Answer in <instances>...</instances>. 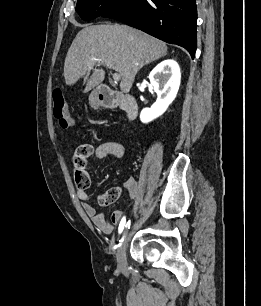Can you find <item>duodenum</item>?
<instances>
[{
	"instance_id": "410a0bca",
	"label": "duodenum",
	"mask_w": 261,
	"mask_h": 306,
	"mask_svg": "<svg viewBox=\"0 0 261 306\" xmlns=\"http://www.w3.org/2000/svg\"><path fill=\"white\" fill-rule=\"evenodd\" d=\"M96 98L102 107H119L126 113L130 120L137 116L138 104L136 99L131 95L114 92L106 85H101L97 89Z\"/></svg>"
}]
</instances>
